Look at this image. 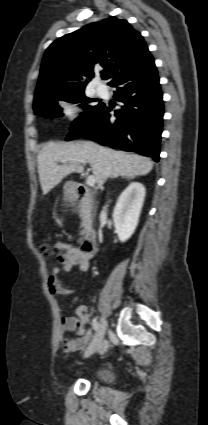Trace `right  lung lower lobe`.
Segmentation results:
<instances>
[{
	"instance_id": "obj_1",
	"label": "right lung lower lobe",
	"mask_w": 208,
	"mask_h": 425,
	"mask_svg": "<svg viewBox=\"0 0 208 425\" xmlns=\"http://www.w3.org/2000/svg\"><path fill=\"white\" fill-rule=\"evenodd\" d=\"M109 85L117 87L114 98L124 103L111 119V108L101 103L81 115L67 140L79 137L101 145L133 151L159 160L163 100L159 76L151 54L121 70Z\"/></svg>"
}]
</instances>
